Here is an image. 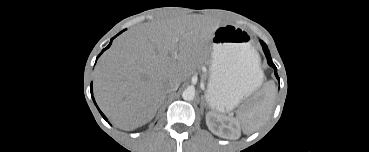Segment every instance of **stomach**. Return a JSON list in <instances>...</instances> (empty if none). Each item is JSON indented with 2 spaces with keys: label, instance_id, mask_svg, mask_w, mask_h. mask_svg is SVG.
Listing matches in <instances>:
<instances>
[{
  "label": "stomach",
  "instance_id": "0dacf381",
  "mask_svg": "<svg viewBox=\"0 0 369 152\" xmlns=\"http://www.w3.org/2000/svg\"><path fill=\"white\" fill-rule=\"evenodd\" d=\"M212 61L206 99L210 108L228 112L261 85L263 73L251 47V37L232 24L217 27L212 37Z\"/></svg>",
  "mask_w": 369,
  "mask_h": 152
}]
</instances>
